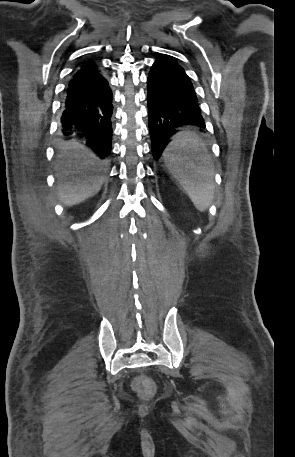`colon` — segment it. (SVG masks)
Wrapping results in <instances>:
<instances>
[{"label": "colon", "mask_w": 295, "mask_h": 457, "mask_svg": "<svg viewBox=\"0 0 295 457\" xmlns=\"http://www.w3.org/2000/svg\"><path fill=\"white\" fill-rule=\"evenodd\" d=\"M134 389L144 390V392H150L153 389L152 375L140 374L139 381L134 382Z\"/></svg>", "instance_id": "1"}]
</instances>
